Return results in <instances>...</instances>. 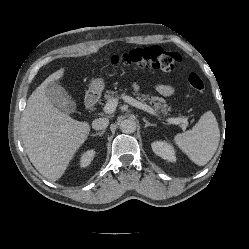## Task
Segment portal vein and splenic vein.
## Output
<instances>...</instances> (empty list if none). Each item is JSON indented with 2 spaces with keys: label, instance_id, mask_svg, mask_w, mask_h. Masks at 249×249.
Here are the masks:
<instances>
[{
  "label": "portal vein and splenic vein",
  "instance_id": "1",
  "mask_svg": "<svg viewBox=\"0 0 249 249\" xmlns=\"http://www.w3.org/2000/svg\"><path fill=\"white\" fill-rule=\"evenodd\" d=\"M122 99L127 102L128 104L142 109L146 112H148L149 114H152L154 116H158V114L155 112V110L153 108H151L150 106H148L147 104H144L140 101H137L136 99L127 96V95H123ZM118 105V98H114L110 101H108L105 106H104V112L111 114L116 110V107ZM166 122L168 124H175V125H181L183 129H186V127L188 126V121L184 118H167Z\"/></svg>",
  "mask_w": 249,
  "mask_h": 249
}]
</instances>
